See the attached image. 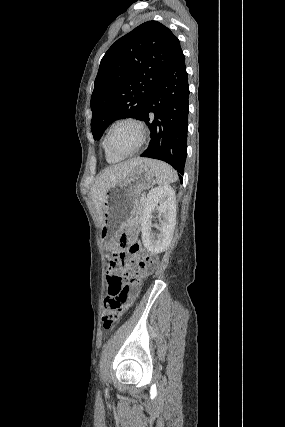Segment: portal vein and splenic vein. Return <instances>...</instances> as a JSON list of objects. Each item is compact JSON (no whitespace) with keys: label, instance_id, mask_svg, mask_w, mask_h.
Wrapping results in <instances>:
<instances>
[{"label":"portal vein and splenic vein","instance_id":"18ae733b","mask_svg":"<svg viewBox=\"0 0 285 427\" xmlns=\"http://www.w3.org/2000/svg\"><path fill=\"white\" fill-rule=\"evenodd\" d=\"M140 201H144V197H142V198L140 199Z\"/></svg>","mask_w":285,"mask_h":427}]
</instances>
